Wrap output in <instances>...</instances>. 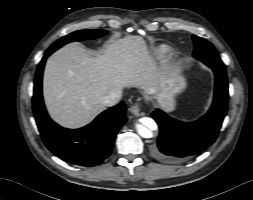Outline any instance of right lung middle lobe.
Returning a JSON list of instances; mask_svg holds the SVG:
<instances>
[{"label": "right lung middle lobe", "mask_w": 253, "mask_h": 200, "mask_svg": "<svg viewBox=\"0 0 253 200\" xmlns=\"http://www.w3.org/2000/svg\"><path fill=\"white\" fill-rule=\"evenodd\" d=\"M107 34V31L100 30V29H92V30H79L75 31L69 35H66L59 40H57L55 43H53L49 49L57 50L63 45L73 42V41H81L86 39H96L98 37H102Z\"/></svg>", "instance_id": "dd1d6c3e"}]
</instances>
